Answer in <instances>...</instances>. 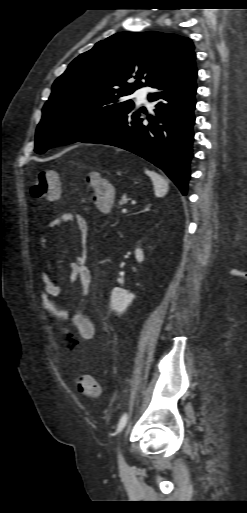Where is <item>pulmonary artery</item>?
Listing matches in <instances>:
<instances>
[{"label":"pulmonary artery","instance_id":"pulmonary-artery-1","mask_svg":"<svg viewBox=\"0 0 247 513\" xmlns=\"http://www.w3.org/2000/svg\"><path fill=\"white\" fill-rule=\"evenodd\" d=\"M148 92V87H141L138 90H136L135 95L139 101H145Z\"/></svg>","mask_w":247,"mask_h":513}]
</instances>
